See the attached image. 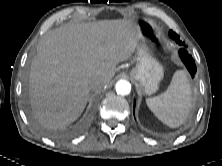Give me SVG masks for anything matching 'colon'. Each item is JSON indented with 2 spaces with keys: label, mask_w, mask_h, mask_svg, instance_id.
<instances>
[{
  "label": "colon",
  "mask_w": 222,
  "mask_h": 166,
  "mask_svg": "<svg viewBox=\"0 0 222 166\" xmlns=\"http://www.w3.org/2000/svg\"><path fill=\"white\" fill-rule=\"evenodd\" d=\"M138 32L143 39L150 40L152 42L158 41V36L155 34L152 24L147 21L140 22Z\"/></svg>",
  "instance_id": "5ec220e1"
}]
</instances>
